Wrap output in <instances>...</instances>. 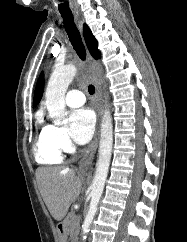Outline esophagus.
Instances as JSON below:
<instances>
[{"label": "esophagus", "instance_id": "34e87169", "mask_svg": "<svg viewBox=\"0 0 187 242\" xmlns=\"http://www.w3.org/2000/svg\"><path fill=\"white\" fill-rule=\"evenodd\" d=\"M76 18H78V14L76 15ZM88 61H89V68L92 73L95 86H96V97L98 100V108H97L98 123H97V128H96L94 138L90 146L86 150L83 158L80 161L79 168L82 172H87L91 168L95 153L97 151L98 143H99V135H100V120H101L102 109H103L101 66L91 56L88 57Z\"/></svg>", "mask_w": 187, "mask_h": 242}]
</instances>
